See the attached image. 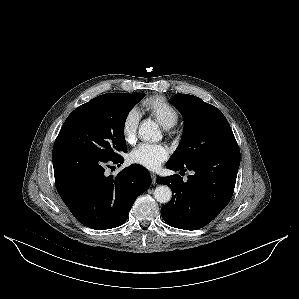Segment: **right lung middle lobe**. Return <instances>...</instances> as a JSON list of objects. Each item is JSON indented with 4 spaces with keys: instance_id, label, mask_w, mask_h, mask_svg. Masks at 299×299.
Listing matches in <instances>:
<instances>
[{
    "instance_id": "obj_1",
    "label": "right lung middle lobe",
    "mask_w": 299,
    "mask_h": 299,
    "mask_svg": "<svg viewBox=\"0 0 299 299\" xmlns=\"http://www.w3.org/2000/svg\"><path fill=\"white\" fill-rule=\"evenodd\" d=\"M144 96L108 93L79 106L64 122L54 148L68 147L104 159L118 158L127 151L124 138L127 115Z\"/></svg>"
}]
</instances>
